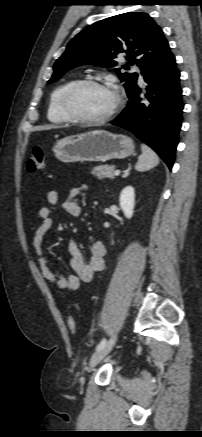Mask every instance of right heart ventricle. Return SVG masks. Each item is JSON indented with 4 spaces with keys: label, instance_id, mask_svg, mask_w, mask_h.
I'll list each match as a JSON object with an SVG mask.
<instances>
[{
    "label": "right heart ventricle",
    "instance_id": "right-heart-ventricle-1",
    "mask_svg": "<svg viewBox=\"0 0 202 437\" xmlns=\"http://www.w3.org/2000/svg\"><path fill=\"white\" fill-rule=\"evenodd\" d=\"M76 80H69L58 86L51 94L48 104L47 117L50 122L55 124L68 123V119L61 109V97L66 89L72 85Z\"/></svg>",
    "mask_w": 202,
    "mask_h": 437
}]
</instances>
